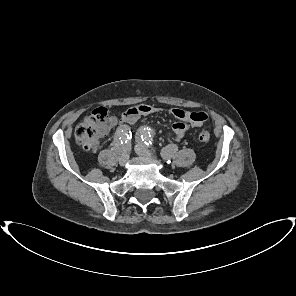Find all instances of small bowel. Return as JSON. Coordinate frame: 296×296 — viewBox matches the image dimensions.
<instances>
[{"instance_id":"1","label":"small bowel","mask_w":296,"mask_h":296,"mask_svg":"<svg viewBox=\"0 0 296 296\" xmlns=\"http://www.w3.org/2000/svg\"><path fill=\"white\" fill-rule=\"evenodd\" d=\"M156 111L157 109L151 105L140 104L126 110L122 114L120 120L124 124H133L140 117L152 114ZM171 114L177 120L172 126L175 143H170L165 147V150H164L165 154H172L177 150L178 146L176 142H179L183 139L188 129V124H191L194 127H199L203 124L204 121H194L192 119L193 115H197V114L207 115L205 112H190L180 108L172 109ZM117 122H118L117 117H112L110 119V127L114 126Z\"/></svg>"}]
</instances>
